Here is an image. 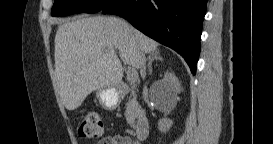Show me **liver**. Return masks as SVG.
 <instances>
[{"instance_id":"6515ba94","label":"liver","mask_w":273,"mask_h":144,"mask_svg":"<svg viewBox=\"0 0 273 144\" xmlns=\"http://www.w3.org/2000/svg\"><path fill=\"white\" fill-rule=\"evenodd\" d=\"M158 45L117 17L62 23L55 36V77L65 108L77 109L95 90L117 88L123 77L122 62L139 68L138 53H151Z\"/></svg>"}]
</instances>
